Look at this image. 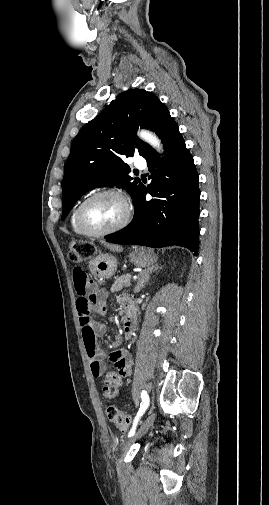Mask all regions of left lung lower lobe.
I'll return each instance as SVG.
<instances>
[{"label": "left lung lower lobe", "instance_id": "1", "mask_svg": "<svg viewBox=\"0 0 269 505\" xmlns=\"http://www.w3.org/2000/svg\"><path fill=\"white\" fill-rule=\"evenodd\" d=\"M155 132L165 145V156L160 158L149 148L144 158L152 181L147 187L142 184L134 200L132 222L106 241L158 248L179 245L196 255L200 190L193 157L170 113ZM147 193L153 197L150 201L145 199Z\"/></svg>", "mask_w": 269, "mask_h": 505}]
</instances>
